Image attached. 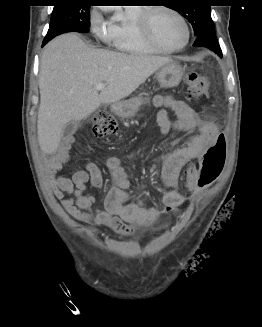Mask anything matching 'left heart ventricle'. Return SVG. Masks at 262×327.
<instances>
[{
	"instance_id": "left-heart-ventricle-1",
	"label": "left heart ventricle",
	"mask_w": 262,
	"mask_h": 327,
	"mask_svg": "<svg viewBox=\"0 0 262 327\" xmlns=\"http://www.w3.org/2000/svg\"><path fill=\"white\" fill-rule=\"evenodd\" d=\"M151 28L155 38L165 47L176 48L185 41L186 31L183 23L170 12H153Z\"/></svg>"
}]
</instances>
